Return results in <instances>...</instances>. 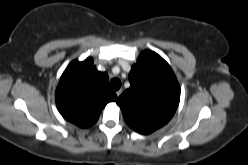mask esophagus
Instances as JSON below:
<instances>
[{
    "instance_id": "1",
    "label": "esophagus",
    "mask_w": 248,
    "mask_h": 165,
    "mask_svg": "<svg viewBox=\"0 0 248 165\" xmlns=\"http://www.w3.org/2000/svg\"><path fill=\"white\" fill-rule=\"evenodd\" d=\"M121 94H122V89H119V90L116 91L117 97H119Z\"/></svg>"
}]
</instances>
